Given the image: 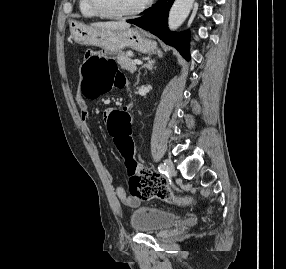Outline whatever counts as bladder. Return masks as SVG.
<instances>
[{"instance_id":"obj_1","label":"bladder","mask_w":286,"mask_h":269,"mask_svg":"<svg viewBox=\"0 0 286 269\" xmlns=\"http://www.w3.org/2000/svg\"><path fill=\"white\" fill-rule=\"evenodd\" d=\"M178 216L157 207H140L130 214L131 228L139 233H151L171 226Z\"/></svg>"}]
</instances>
